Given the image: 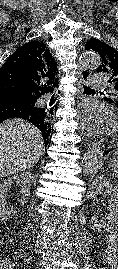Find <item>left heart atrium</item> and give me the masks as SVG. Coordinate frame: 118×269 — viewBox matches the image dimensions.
Returning a JSON list of instances; mask_svg holds the SVG:
<instances>
[{"mask_svg": "<svg viewBox=\"0 0 118 269\" xmlns=\"http://www.w3.org/2000/svg\"><path fill=\"white\" fill-rule=\"evenodd\" d=\"M77 119L82 128L91 134H104L110 130L112 124L110 112L94 104L81 106Z\"/></svg>", "mask_w": 118, "mask_h": 269, "instance_id": "39dd6f15", "label": "left heart atrium"}]
</instances>
